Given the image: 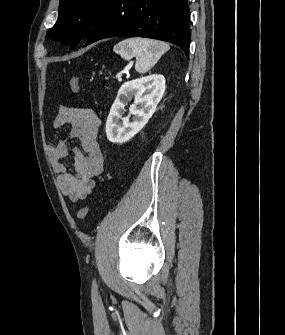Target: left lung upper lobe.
Listing matches in <instances>:
<instances>
[{
    "mask_svg": "<svg viewBox=\"0 0 285 335\" xmlns=\"http://www.w3.org/2000/svg\"><path fill=\"white\" fill-rule=\"evenodd\" d=\"M111 0H60L56 24L49 30L52 38L76 46L88 33Z\"/></svg>",
    "mask_w": 285,
    "mask_h": 335,
    "instance_id": "obj_1",
    "label": "left lung upper lobe"
}]
</instances>
